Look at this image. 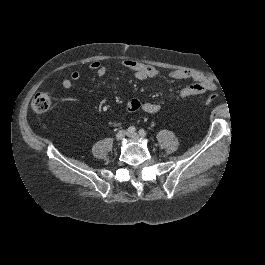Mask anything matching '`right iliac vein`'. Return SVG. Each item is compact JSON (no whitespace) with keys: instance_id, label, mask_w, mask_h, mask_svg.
<instances>
[{"instance_id":"right-iliac-vein-1","label":"right iliac vein","mask_w":265,"mask_h":265,"mask_svg":"<svg viewBox=\"0 0 265 265\" xmlns=\"http://www.w3.org/2000/svg\"><path fill=\"white\" fill-rule=\"evenodd\" d=\"M126 135V131L125 130H119L116 134V140L117 141H121Z\"/></svg>"}]
</instances>
